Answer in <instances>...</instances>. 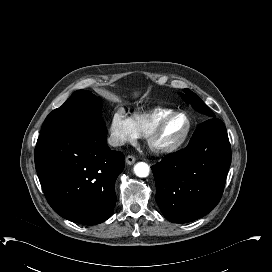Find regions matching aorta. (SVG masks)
Wrapping results in <instances>:
<instances>
[{
    "instance_id": "1",
    "label": "aorta",
    "mask_w": 272,
    "mask_h": 272,
    "mask_svg": "<svg viewBox=\"0 0 272 272\" xmlns=\"http://www.w3.org/2000/svg\"><path fill=\"white\" fill-rule=\"evenodd\" d=\"M149 166L144 162H139L134 166V172L138 177H147L149 175Z\"/></svg>"
}]
</instances>
